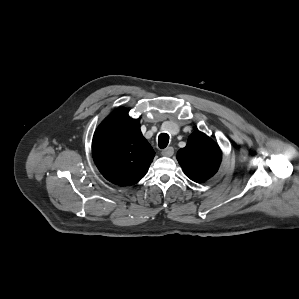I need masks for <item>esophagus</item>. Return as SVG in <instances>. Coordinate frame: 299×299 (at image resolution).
<instances>
[{
	"instance_id": "esophagus-1",
	"label": "esophagus",
	"mask_w": 299,
	"mask_h": 299,
	"mask_svg": "<svg viewBox=\"0 0 299 299\" xmlns=\"http://www.w3.org/2000/svg\"><path fill=\"white\" fill-rule=\"evenodd\" d=\"M161 154L166 157H171L174 154V148L167 147L164 150H162Z\"/></svg>"
}]
</instances>
